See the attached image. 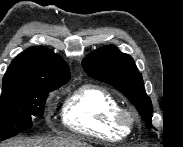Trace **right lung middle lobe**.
Here are the masks:
<instances>
[{"label": "right lung middle lobe", "instance_id": "obj_1", "mask_svg": "<svg viewBox=\"0 0 183 147\" xmlns=\"http://www.w3.org/2000/svg\"><path fill=\"white\" fill-rule=\"evenodd\" d=\"M58 87L32 84L3 87L0 100V141L32 126L34 116H42L47 93Z\"/></svg>", "mask_w": 183, "mask_h": 147}]
</instances>
